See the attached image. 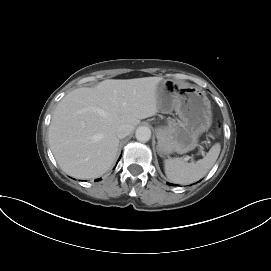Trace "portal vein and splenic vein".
Listing matches in <instances>:
<instances>
[{
    "instance_id": "portal-vein-and-splenic-vein-1",
    "label": "portal vein and splenic vein",
    "mask_w": 271,
    "mask_h": 271,
    "mask_svg": "<svg viewBox=\"0 0 271 271\" xmlns=\"http://www.w3.org/2000/svg\"><path fill=\"white\" fill-rule=\"evenodd\" d=\"M201 153H202V155H204V151H201ZM189 159H191L190 156H186V157L184 158L185 161H188Z\"/></svg>"
}]
</instances>
